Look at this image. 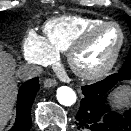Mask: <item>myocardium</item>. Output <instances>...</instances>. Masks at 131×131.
Masks as SVG:
<instances>
[{
	"instance_id": "obj_1",
	"label": "myocardium",
	"mask_w": 131,
	"mask_h": 131,
	"mask_svg": "<svg viewBox=\"0 0 131 131\" xmlns=\"http://www.w3.org/2000/svg\"><path fill=\"white\" fill-rule=\"evenodd\" d=\"M107 26H115L120 33V41L110 59L102 66L95 69H84L77 64V55L87 46L92 37ZM125 32L122 26L115 21H103L85 30L67 50V61L72 71L81 78L94 80L108 74L116 65L125 45Z\"/></svg>"
}]
</instances>
